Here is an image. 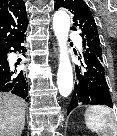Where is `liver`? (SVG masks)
Here are the masks:
<instances>
[{
    "instance_id": "obj_1",
    "label": "liver",
    "mask_w": 117,
    "mask_h": 136,
    "mask_svg": "<svg viewBox=\"0 0 117 136\" xmlns=\"http://www.w3.org/2000/svg\"><path fill=\"white\" fill-rule=\"evenodd\" d=\"M25 107L23 99L0 92V136H21L25 125Z\"/></svg>"
}]
</instances>
